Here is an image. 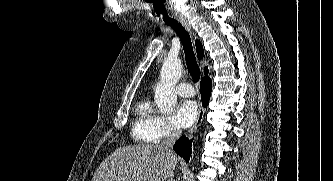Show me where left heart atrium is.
Instances as JSON below:
<instances>
[{
    "label": "left heart atrium",
    "instance_id": "39dd6f15",
    "mask_svg": "<svg viewBox=\"0 0 333 181\" xmlns=\"http://www.w3.org/2000/svg\"><path fill=\"white\" fill-rule=\"evenodd\" d=\"M199 113L198 106L193 100L181 101L174 112L176 124L182 128H187L195 123Z\"/></svg>",
    "mask_w": 333,
    "mask_h": 181
}]
</instances>
